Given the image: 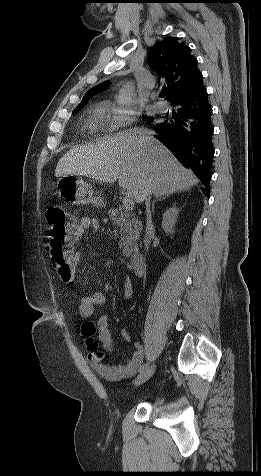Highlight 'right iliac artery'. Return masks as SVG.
I'll use <instances>...</instances> for the list:
<instances>
[{"instance_id":"right-iliac-artery-1","label":"right iliac artery","mask_w":261,"mask_h":476,"mask_svg":"<svg viewBox=\"0 0 261 476\" xmlns=\"http://www.w3.org/2000/svg\"><path fill=\"white\" fill-rule=\"evenodd\" d=\"M147 366L148 364H143L139 369L140 373L143 372L147 368Z\"/></svg>"}]
</instances>
